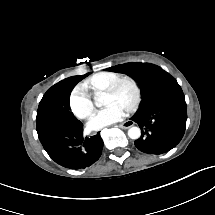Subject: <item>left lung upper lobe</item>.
<instances>
[{
    "mask_svg": "<svg viewBox=\"0 0 215 215\" xmlns=\"http://www.w3.org/2000/svg\"><path fill=\"white\" fill-rule=\"evenodd\" d=\"M108 70L131 74L142 90V103L131 118L141 128L135 146L147 154H162L182 139L187 120L183 91L177 81L160 67L127 63Z\"/></svg>",
    "mask_w": 215,
    "mask_h": 215,
    "instance_id": "1",
    "label": "left lung upper lobe"
}]
</instances>
